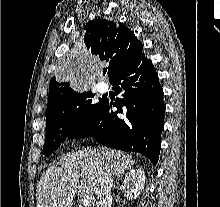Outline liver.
I'll use <instances>...</instances> for the list:
<instances>
[{
  "label": "liver",
  "instance_id": "6515ba94",
  "mask_svg": "<svg viewBox=\"0 0 220 207\" xmlns=\"http://www.w3.org/2000/svg\"><path fill=\"white\" fill-rule=\"evenodd\" d=\"M133 164L131 155L110 148H84L66 154L41 176L37 207H72L76 194H96L104 174L122 175Z\"/></svg>",
  "mask_w": 220,
  "mask_h": 207
}]
</instances>
